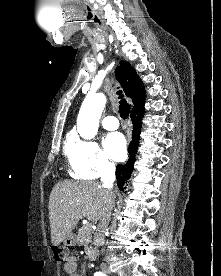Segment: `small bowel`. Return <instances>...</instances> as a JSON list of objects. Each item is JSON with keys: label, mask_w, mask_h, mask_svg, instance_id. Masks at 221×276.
<instances>
[{"label": "small bowel", "mask_w": 221, "mask_h": 276, "mask_svg": "<svg viewBox=\"0 0 221 276\" xmlns=\"http://www.w3.org/2000/svg\"><path fill=\"white\" fill-rule=\"evenodd\" d=\"M63 269L69 276H83V273L78 270L77 259L73 256L65 261Z\"/></svg>", "instance_id": "obj_1"}]
</instances>
